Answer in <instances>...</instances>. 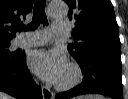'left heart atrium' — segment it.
<instances>
[{
    "label": "left heart atrium",
    "mask_w": 128,
    "mask_h": 99,
    "mask_svg": "<svg viewBox=\"0 0 128 99\" xmlns=\"http://www.w3.org/2000/svg\"><path fill=\"white\" fill-rule=\"evenodd\" d=\"M29 66L43 79L49 82H59L67 68V62L61 50H38L29 57Z\"/></svg>",
    "instance_id": "39dd6f15"
}]
</instances>
